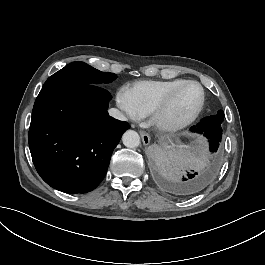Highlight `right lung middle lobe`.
<instances>
[{"label":"right lung middle lobe","mask_w":265,"mask_h":265,"mask_svg":"<svg viewBox=\"0 0 265 265\" xmlns=\"http://www.w3.org/2000/svg\"><path fill=\"white\" fill-rule=\"evenodd\" d=\"M117 76L109 72H101L84 62H73L53 74L45 82L43 88L79 85H99L110 83Z\"/></svg>","instance_id":"dd1d6c3e"}]
</instances>
